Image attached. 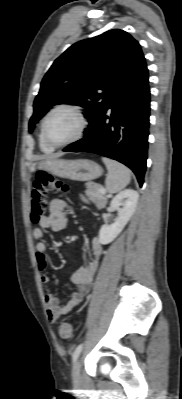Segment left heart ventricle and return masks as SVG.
<instances>
[{"label":"left heart ventricle","instance_id":"obj_1","mask_svg":"<svg viewBox=\"0 0 182 399\" xmlns=\"http://www.w3.org/2000/svg\"><path fill=\"white\" fill-rule=\"evenodd\" d=\"M78 128V117L71 111L60 110L49 118L46 132L53 142L61 143L72 138Z\"/></svg>","mask_w":182,"mask_h":399}]
</instances>
